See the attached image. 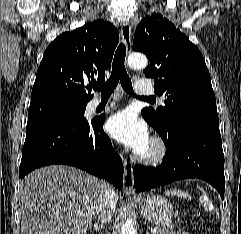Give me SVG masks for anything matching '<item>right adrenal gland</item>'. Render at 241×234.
<instances>
[{
  "instance_id": "right-adrenal-gland-1",
  "label": "right adrenal gland",
  "mask_w": 241,
  "mask_h": 234,
  "mask_svg": "<svg viewBox=\"0 0 241 234\" xmlns=\"http://www.w3.org/2000/svg\"><path fill=\"white\" fill-rule=\"evenodd\" d=\"M103 227V225H98L97 223H95L94 225H91L89 227V229L91 230L92 228L94 229V231H99L101 228Z\"/></svg>"
}]
</instances>
